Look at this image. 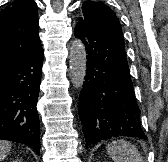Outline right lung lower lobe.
<instances>
[{
    "label": "right lung lower lobe",
    "instance_id": "98d812e1",
    "mask_svg": "<svg viewBox=\"0 0 168 162\" xmlns=\"http://www.w3.org/2000/svg\"><path fill=\"white\" fill-rule=\"evenodd\" d=\"M44 53L15 60L0 68V139L23 143L40 152L36 110Z\"/></svg>",
    "mask_w": 168,
    "mask_h": 162
}]
</instances>
